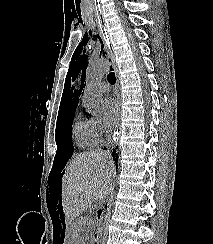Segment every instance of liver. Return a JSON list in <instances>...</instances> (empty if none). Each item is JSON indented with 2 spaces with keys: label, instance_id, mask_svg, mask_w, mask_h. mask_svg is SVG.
Wrapping results in <instances>:
<instances>
[{
  "label": "liver",
  "instance_id": "1",
  "mask_svg": "<svg viewBox=\"0 0 213 244\" xmlns=\"http://www.w3.org/2000/svg\"><path fill=\"white\" fill-rule=\"evenodd\" d=\"M113 172L110 155L103 151L83 153L67 165L62 177L61 199L69 231L77 229L74 220L83 210L110 194Z\"/></svg>",
  "mask_w": 213,
  "mask_h": 244
}]
</instances>
